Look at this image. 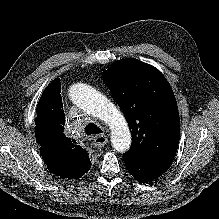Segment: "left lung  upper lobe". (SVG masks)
Here are the masks:
<instances>
[{
    "mask_svg": "<svg viewBox=\"0 0 219 219\" xmlns=\"http://www.w3.org/2000/svg\"><path fill=\"white\" fill-rule=\"evenodd\" d=\"M103 75L133 136L124 156L172 162L179 143L180 119L173 90L162 73L131 58L112 63Z\"/></svg>",
    "mask_w": 219,
    "mask_h": 219,
    "instance_id": "1",
    "label": "left lung upper lobe"
}]
</instances>
